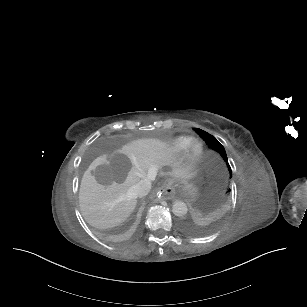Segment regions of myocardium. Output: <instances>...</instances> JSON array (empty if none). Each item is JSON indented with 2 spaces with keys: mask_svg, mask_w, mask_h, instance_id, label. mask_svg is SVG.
I'll use <instances>...</instances> for the list:
<instances>
[{
  "mask_svg": "<svg viewBox=\"0 0 307 307\" xmlns=\"http://www.w3.org/2000/svg\"><path fill=\"white\" fill-rule=\"evenodd\" d=\"M197 145L200 147V150L198 153H194V148ZM205 151H206L205 145L203 144L202 141L192 140L184 153L183 160L185 164L188 166H195L199 164L205 155Z\"/></svg>",
  "mask_w": 307,
  "mask_h": 307,
  "instance_id": "myocardium-1",
  "label": "myocardium"
}]
</instances>
